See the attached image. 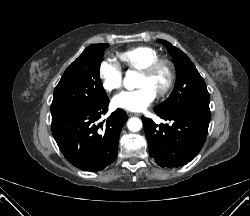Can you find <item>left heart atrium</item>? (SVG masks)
<instances>
[{
    "label": "left heart atrium",
    "mask_w": 250,
    "mask_h": 216,
    "mask_svg": "<svg viewBox=\"0 0 250 216\" xmlns=\"http://www.w3.org/2000/svg\"><path fill=\"white\" fill-rule=\"evenodd\" d=\"M151 99V93L145 89H142L133 93H127L119 96L117 99V104L129 109H139L147 105Z\"/></svg>",
    "instance_id": "left-heart-atrium-1"
}]
</instances>
